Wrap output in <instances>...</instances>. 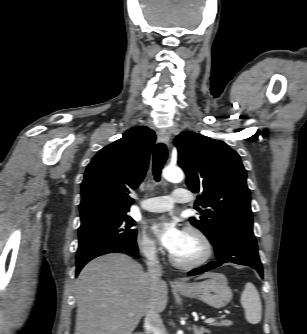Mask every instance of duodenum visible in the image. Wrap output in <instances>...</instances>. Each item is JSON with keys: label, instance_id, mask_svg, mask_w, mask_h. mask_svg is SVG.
<instances>
[{"label": "duodenum", "instance_id": "410a0bca", "mask_svg": "<svg viewBox=\"0 0 307 334\" xmlns=\"http://www.w3.org/2000/svg\"><path fill=\"white\" fill-rule=\"evenodd\" d=\"M134 334H143L142 332H136V333H134Z\"/></svg>", "mask_w": 307, "mask_h": 334}]
</instances>
